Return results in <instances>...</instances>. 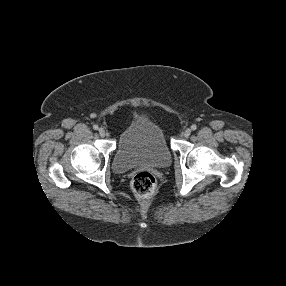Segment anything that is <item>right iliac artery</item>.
I'll list each match as a JSON object with an SVG mask.
<instances>
[{
    "label": "right iliac artery",
    "instance_id": "82829eb1",
    "mask_svg": "<svg viewBox=\"0 0 286 286\" xmlns=\"http://www.w3.org/2000/svg\"><path fill=\"white\" fill-rule=\"evenodd\" d=\"M93 128H94V130H98L99 127H98V125H94Z\"/></svg>",
    "mask_w": 286,
    "mask_h": 286
}]
</instances>
